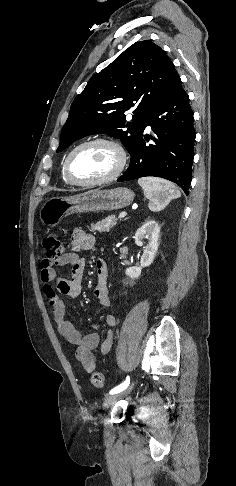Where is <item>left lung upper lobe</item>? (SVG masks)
<instances>
[{
  "instance_id": "left-lung-upper-lobe-1",
  "label": "left lung upper lobe",
  "mask_w": 236,
  "mask_h": 486,
  "mask_svg": "<svg viewBox=\"0 0 236 486\" xmlns=\"http://www.w3.org/2000/svg\"><path fill=\"white\" fill-rule=\"evenodd\" d=\"M178 79L174 64L158 45L150 40L134 43L75 98L57 152L82 137L107 134L120 139L130 153L151 107ZM128 110L132 122L126 121Z\"/></svg>"
}]
</instances>
